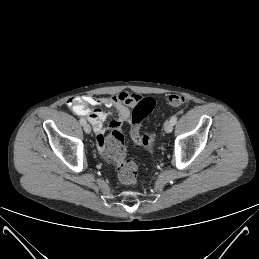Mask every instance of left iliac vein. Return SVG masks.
Here are the masks:
<instances>
[{"instance_id":"1","label":"left iliac vein","mask_w":259,"mask_h":259,"mask_svg":"<svg viewBox=\"0 0 259 259\" xmlns=\"http://www.w3.org/2000/svg\"><path fill=\"white\" fill-rule=\"evenodd\" d=\"M164 130L167 133L172 132V130H173V123L171 122V120L165 121V123H164Z\"/></svg>"}]
</instances>
